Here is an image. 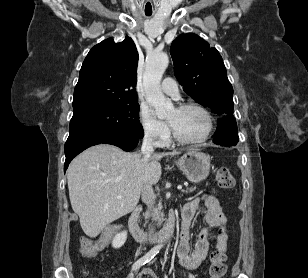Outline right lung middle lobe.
Segmentation results:
<instances>
[{
    "label": "right lung middle lobe",
    "mask_w": 308,
    "mask_h": 278,
    "mask_svg": "<svg viewBox=\"0 0 308 278\" xmlns=\"http://www.w3.org/2000/svg\"><path fill=\"white\" fill-rule=\"evenodd\" d=\"M85 132H112L143 137L139 104H118L73 115L69 135Z\"/></svg>",
    "instance_id": "1"
}]
</instances>
